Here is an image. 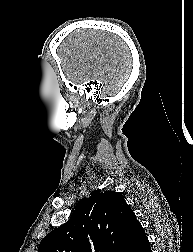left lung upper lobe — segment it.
Masks as SVG:
<instances>
[{
    "label": "left lung upper lobe",
    "instance_id": "obj_1",
    "mask_svg": "<svg viewBox=\"0 0 193 252\" xmlns=\"http://www.w3.org/2000/svg\"><path fill=\"white\" fill-rule=\"evenodd\" d=\"M138 224L122 195L95 190L41 241L38 252H125Z\"/></svg>",
    "mask_w": 193,
    "mask_h": 252
}]
</instances>
